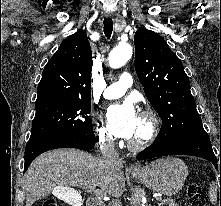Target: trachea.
<instances>
[{
  "instance_id": "1",
  "label": "trachea",
  "mask_w": 221,
  "mask_h": 206,
  "mask_svg": "<svg viewBox=\"0 0 221 206\" xmlns=\"http://www.w3.org/2000/svg\"><path fill=\"white\" fill-rule=\"evenodd\" d=\"M113 30V22L111 18H105L104 19V33L107 38L111 37Z\"/></svg>"
}]
</instances>
